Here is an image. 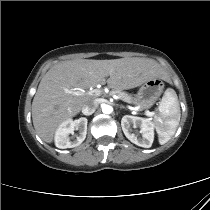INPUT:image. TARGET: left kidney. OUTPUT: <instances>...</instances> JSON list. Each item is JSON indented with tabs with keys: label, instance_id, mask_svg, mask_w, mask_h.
I'll return each instance as SVG.
<instances>
[{
	"label": "left kidney",
	"instance_id": "5707ae66",
	"mask_svg": "<svg viewBox=\"0 0 210 210\" xmlns=\"http://www.w3.org/2000/svg\"><path fill=\"white\" fill-rule=\"evenodd\" d=\"M121 126L125 136L132 143L144 148L151 147L154 140V125L151 121L141 117L125 115L122 117ZM131 126L140 129L142 138L139 139L132 133Z\"/></svg>",
	"mask_w": 210,
	"mask_h": 210
}]
</instances>
